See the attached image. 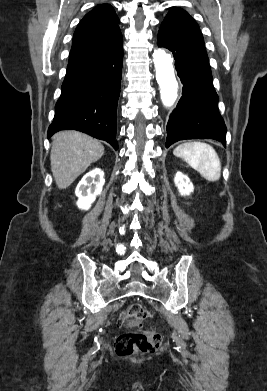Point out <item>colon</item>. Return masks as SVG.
Masks as SVG:
<instances>
[{
	"mask_svg": "<svg viewBox=\"0 0 267 391\" xmlns=\"http://www.w3.org/2000/svg\"><path fill=\"white\" fill-rule=\"evenodd\" d=\"M152 311L139 304L127 306L119 315V323L127 330L114 343V351L120 357L137 353H153L162 343L161 335L152 328L140 329L142 322L152 317Z\"/></svg>",
	"mask_w": 267,
	"mask_h": 391,
	"instance_id": "1",
	"label": "colon"
}]
</instances>
